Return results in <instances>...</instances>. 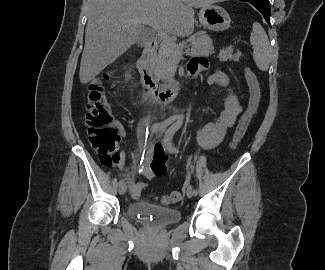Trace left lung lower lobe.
<instances>
[{
  "instance_id": "obj_1",
  "label": "left lung lower lobe",
  "mask_w": 325,
  "mask_h": 270,
  "mask_svg": "<svg viewBox=\"0 0 325 270\" xmlns=\"http://www.w3.org/2000/svg\"><path fill=\"white\" fill-rule=\"evenodd\" d=\"M240 1H246L251 3L254 7H256L264 16L267 23L270 25V2L269 0H240Z\"/></svg>"
}]
</instances>
